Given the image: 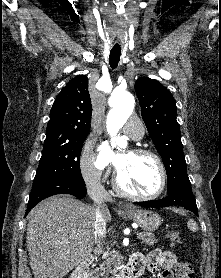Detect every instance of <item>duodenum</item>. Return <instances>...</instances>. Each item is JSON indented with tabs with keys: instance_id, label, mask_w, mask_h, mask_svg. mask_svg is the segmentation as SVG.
I'll return each instance as SVG.
<instances>
[{
	"instance_id": "duodenum-1",
	"label": "duodenum",
	"mask_w": 221,
	"mask_h": 278,
	"mask_svg": "<svg viewBox=\"0 0 221 278\" xmlns=\"http://www.w3.org/2000/svg\"><path fill=\"white\" fill-rule=\"evenodd\" d=\"M91 260H85L77 270L70 276V278H87L86 270L90 265ZM142 270L138 267L136 260L131 259L130 262L126 265L123 273L119 278H138Z\"/></svg>"
}]
</instances>
